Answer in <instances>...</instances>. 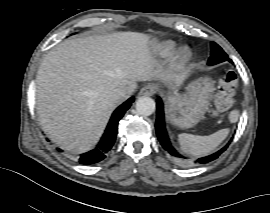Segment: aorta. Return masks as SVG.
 Wrapping results in <instances>:
<instances>
[{
	"instance_id": "aorta-1",
	"label": "aorta",
	"mask_w": 270,
	"mask_h": 213,
	"mask_svg": "<svg viewBox=\"0 0 270 213\" xmlns=\"http://www.w3.org/2000/svg\"><path fill=\"white\" fill-rule=\"evenodd\" d=\"M155 101L150 97H140L136 101V110L140 115L149 116L155 111Z\"/></svg>"
}]
</instances>
